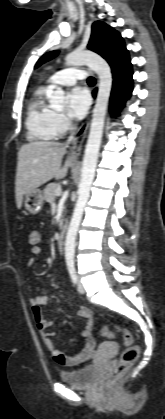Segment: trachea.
<instances>
[{
	"label": "trachea",
	"mask_w": 165,
	"mask_h": 419,
	"mask_svg": "<svg viewBox=\"0 0 165 419\" xmlns=\"http://www.w3.org/2000/svg\"><path fill=\"white\" fill-rule=\"evenodd\" d=\"M87 82H88V84L93 85V84H95V79L93 77H89L87 79Z\"/></svg>",
	"instance_id": "trachea-1"
}]
</instances>
